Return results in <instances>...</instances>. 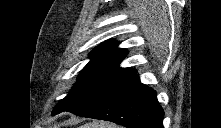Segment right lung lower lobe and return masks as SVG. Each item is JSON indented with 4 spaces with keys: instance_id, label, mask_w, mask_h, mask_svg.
<instances>
[{
    "instance_id": "1",
    "label": "right lung lower lobe",
    "mask_w": 221,
    "mask_h": 128,
    "mask_svg": "<svg viewBox=\"0 0 221 128\" xmlns=\"http://www.w3.org/2000/svg\"><path fill=\"white\" fill-rule=\"evenodd\" d=\"M68 112L111 121L127 128H163L164 111L156 92L142 84L137 74L99 99Z\"/></svg>"
}]
</instances>
